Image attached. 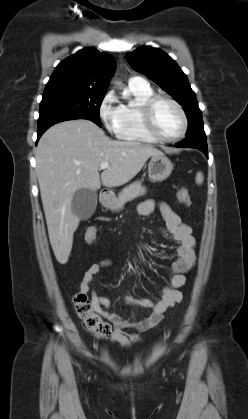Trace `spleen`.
I'll list each match as a JSON object with an SVG mask.
<instances>
[{
    "instance_id": "spleen-1",
    "label": "spleen",
    "mask_w": 248,
    "mask_h": 419,
    "mask_svg": "<svg viewBox=\"0 0 248 419\" xmlns=\"http://www.w3.org/2000/svg\"><path fill=\"white\" fill-rule=\"evenodd\" d=\"M203 182V174L201 172H198L196 175V183L201 184Z\"/></svg>"
}]
</instances>
